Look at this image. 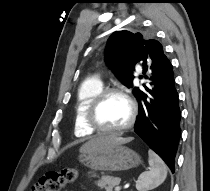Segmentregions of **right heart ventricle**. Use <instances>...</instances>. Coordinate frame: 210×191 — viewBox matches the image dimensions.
I'll use <instances>...</instances> for the list:
<instances>
[{
    "label": "right heart ventricle",
    "mask_w": 210,
    "mask_h": 191,
    "mask_svg": "<svg viewBox=\"0 0 210 191\" xmlns=\"http://www.w3.org/2000/svg\"><path fill=\"white\" fill-rule=\"evenodd\" d=\"M103 89L102 83L97 79L84 81L77 93L75 108L74 132L77 136H91L95 131L91 129L85 120L87 108L92 99Z\"/></svg>",
    "instance_id": "right-heart-ventricle-1"
}]
</instances>
